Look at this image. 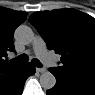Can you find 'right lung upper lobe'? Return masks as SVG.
Instances as JSON below:
<instances>
[{
  "instance_id": "cb5924a9",
  "label": "right lung upper lobe",
  "mask_w": 95,
  "mask_h": 95,
  "mask_svg": "<svg viewBox=\"0 0 95 95\" xmlns=\"http://www.w3.org/2000/svg\"><path fill=\"white\" fill-rule=\"evenodd\" d=\"M27 12L0 7V90L7 88L22 73L25 64L5 60L7 52L14 51L15 29L26 20Z\"/></svg>"
}]
</instances>
